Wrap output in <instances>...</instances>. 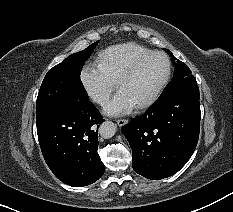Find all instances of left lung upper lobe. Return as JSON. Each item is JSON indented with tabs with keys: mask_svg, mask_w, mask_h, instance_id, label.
<instances>
[{
	"mask_svg": "<svg viewBox=\"0 0 233 212\" xmlns=\"http://www.w3.org/2000/svg\"><path fill=\"white\" fill-rule=\"evenodd\" d=\"M169 56L172 58L171 61L175 67L174 76L171 82L165 87L161 95H167L174 89L184 86V85H197L196 79L191 75V71L186 64L177 60L173 54L168 50L163 48Z\"/></svg>",
	"mask_w": 233,
	"mask_h": 212,
	"instance_id": "obj_1",
	"label": "left lung upper lobe"
}]
</instances>
